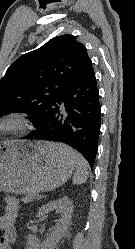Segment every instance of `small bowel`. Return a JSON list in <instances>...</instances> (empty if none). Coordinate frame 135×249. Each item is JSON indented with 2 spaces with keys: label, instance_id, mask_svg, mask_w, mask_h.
<instances>
[{
  "label": "small bowel",
  "instance_id": "c3829d8e",
  "mask_svg": "<svg viewBox=\"0 0 135 249\" xmlns=\"http://www.w3.org/2000/svg\"><path fill=\"white\" fill-rule=\"evenodd\" d=\"M5 212L0 216V229L4 235L0 238V249H9V245L16 238L15 222L19 212V202L13 197L5 199Z\"/></svg>",
  "mask_w": 135,
  "mask_h": 249
}]
</instances>
